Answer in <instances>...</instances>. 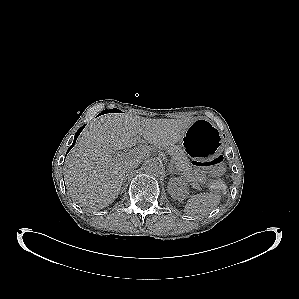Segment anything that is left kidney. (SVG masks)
<instances>
[{"label": "left kidney", "instance_id": "left-kidney-1", "mask_svg": "<svg viewBox=\"0 0 299 299\" xmlns=\"http://www.w3.org/2000/svg\"><path fill=\"white\" fill-rule=\"evenodd\" d=\"M168 192L173 199L184 200L189 194L187 183L180 177H173L168 182Z\"/></svg>", "mask_w": 299, "mask_h": 299}]
</instances>
